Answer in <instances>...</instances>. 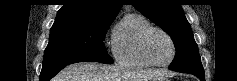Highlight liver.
Wrapping results in <instances>:
<instances>
[{"instance_id":"obj_1","label":"liver","mask_w":237,"mask_h":81,"mask_svg":"<svg viewBox=\"0 0 237 81\" xmlns=\"http://www.w3.org/2000/svg\"><path fill=\"white\" fill-rule=\"evenodd\" d=\"M164 75L160 70L122 71L115 66L81 62L67 66L54 81H152Z\"/></svg>"}]
</instances>
